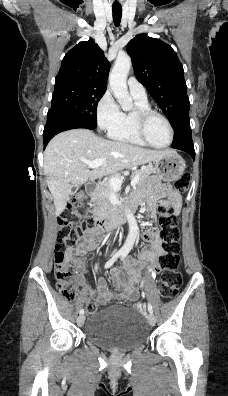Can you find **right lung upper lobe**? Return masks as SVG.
Wrapping results in <instances>:
<instances>
[{"label": "right lung upper lobe", "mask_w": 228, "mask_h": 396, "mask_svg": "<svg viewBox=\"0 0 228 396\" xmlns=\"http://www.w3.org/2000/svg\"><path fill=\"white\" fill-rule=\"evenodd\" d=\"M109 70L103 51L92 39L80 42L63 58L55 87L76 85L106 90Z\"/></svg>", "instance_id": "1"}]
</instances>
